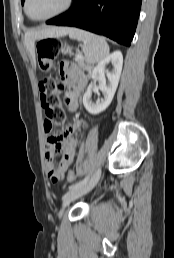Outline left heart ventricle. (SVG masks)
<instances>
[{
	"instance_id": "left-heart-ventricle-1",
	"label": "left heart ventricle",
	"mask_w": 174,
	"mask_h": 258,
	"mask_svg": "<svg viewBox=\"0 0 174 258\" xmlns=\"http://www.w3.org/2000/svg\"><path fill=\"white\" fill-rule=\"evenodd\" d=\"M66 0H29L28 11L34 18L52 14L63 7Z\"/></svg>"
}]
</instances>
